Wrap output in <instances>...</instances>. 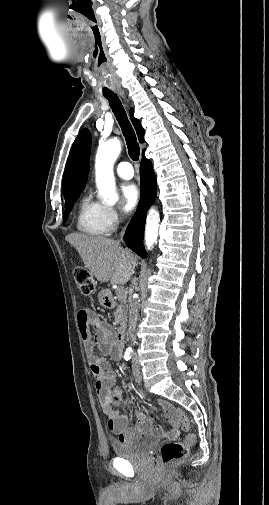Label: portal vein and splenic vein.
<instances>
[{"label":"portal vein and splenic vein","mask_w":269,"mask_h":505,"mask_svg":"<svg viewBox=\"0 0 269 505\" xmlns=\"http://www.w3.org/2000/svg\"><path fill=\"white\" fill-rule=\"evenodd\" d=\"M117 292H118V293H122V292H123V288H118V289H117Z\"/></svg>","instance_id":"portal-vein-and-splenic-vein-1"}]
</instances>
